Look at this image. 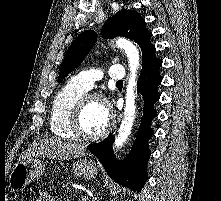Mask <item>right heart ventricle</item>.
<instances>
[{
  "instance_id": "e07e8e85",
  "label": "right heart ventricle",
  "mask_w": 221,
  "mask_h": 201,
  "mask_svg": "<svg viewBox=\"0 0 221 201\" xmlns=\"http://www.w3.org/2000/svg\"><path fill=\"white\" fill-rule=\"evenodd\" d=\"M86 91L71 81L56 94L50 115V129L56 137L64 140L75 139L70 126L71 116L76 103Z\"/></svg>"
}]
</instances>
